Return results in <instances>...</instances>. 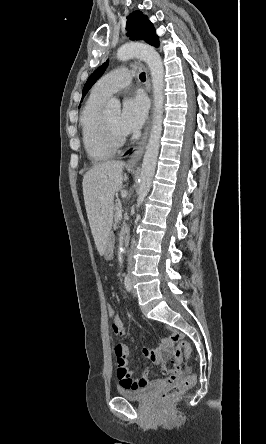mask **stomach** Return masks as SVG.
Returning <instances> with one entry per match:
<instances>
[{"instance_id": "stomach-1", "label": "stomach", "mask_w": 266, "mask_h": 444, "mask_svg": "<svg viewBox=\"0 0 266 444\" xmlns=\"http://www.w3.org/2000/svg\"><path fill=\"white\" fill-rule=\"evenodd\" d=\"M113 243H114L113 237L110 235L106 241L105 251L103 254L106 259H111L113 257L112 253Z\"/></svg>"}]
</instances>
